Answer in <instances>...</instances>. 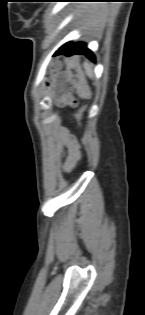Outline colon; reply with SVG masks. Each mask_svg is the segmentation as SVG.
Returning a JSON list of instances; mask_svg holds the SVG:
<instances>
[{"mask_svg": "<svg viewBox=\"0 0 145 315\" xmlns=\"http://www.w3.org/2000/svg\"><path fill=\"white\" fill-rule=\"evenodd\" d=\"M52 72V79L49 81V84L53 87L59 88L58 92L61 96L60 100L62 103L73 104L75 102L69 95V88L71 85H74L81 95H87V90L80 79V69L76 61H71L68 66V77L70 83L65 80L64 76L56 67H53Z\"/></svg>", "mask_w": 145, "mask_h": 315, "instance_id": "5ec220e1", "label": "colon"}]
</instances>
